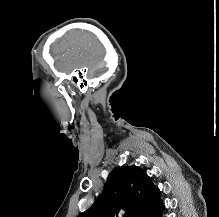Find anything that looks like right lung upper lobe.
<instances>
[{
	"label": "right lung upper lobe",
	"instance_id": "1",
	"mask_svg": "<svg viewBox=\"0 0 219 217\" xmlns=\"http://www.w3.org/2000/svg\"><path fill=\"white\" fill-rule=\"evenodd\" d=\"M163 209L158 187L133 165L113 169L102 194L79 217H157Z\"/></svg>",
	"mask_w": 219,
	"mask_h": 217
}]
</instances>
